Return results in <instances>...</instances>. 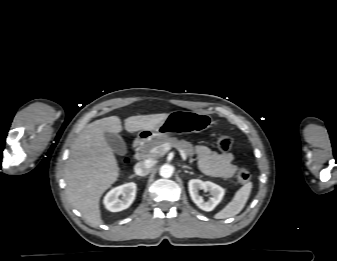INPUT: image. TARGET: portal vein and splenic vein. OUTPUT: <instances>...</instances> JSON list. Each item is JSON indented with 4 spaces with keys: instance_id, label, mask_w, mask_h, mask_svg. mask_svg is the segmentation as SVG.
<instances>
[{
    "instance_id": "1",
    "label": "portal vein and splenic vein",
    "mask_w": 337,
    "mask_h": 261,
    "mask_svg": "<svg viewBox=\"0 0 337 261\" xmlns=\"http://www.w3.org/2000/svg\"><path fill=\"white\" fill-rule=\"evenodd\" d=\"M170 149H171V145L168 144V143H164V144H162V145L159 146V147L153 148V149L151 150V153H157V152L161 151L163 154H165V153L168 152ZM178 150H179V152H180V155H181L182 159H183V160H186L187 156H186L184 150H182V149H180V148H179Z\"/></svg>"
}]
</instances>
